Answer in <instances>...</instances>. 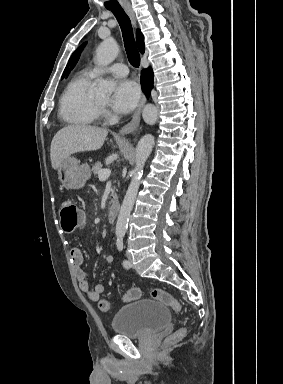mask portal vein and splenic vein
Returning <instances> with one entry per match:
<instances>
[{"label": "portal vein and splenic vein", "mask_w": 283, "mask_h": 384, "mask_svg": "<svg viewBox=\"0 0 283 384\" xmlns=\"http://www.w3.org/2000/svg\"><path fill=\"white\" fill-rule=\"evenodd\" d=\"M110 174H111V170H100L98 176L100 180H108Z\"/></svg>", "instance_id": "obj_1"}]
</instances>
